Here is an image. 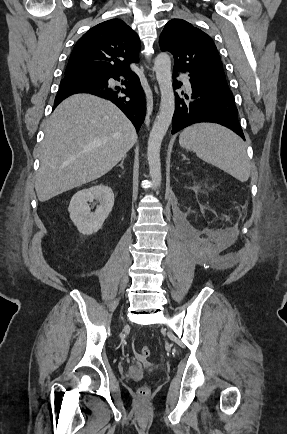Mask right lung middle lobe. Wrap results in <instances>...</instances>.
Segmentation results:
<instances>
[{
	"instance_id": "obj_1",
	"label": "right lung middle lobe",
	"mask_w": 287,
	"mask_h": 434,
	"mask_svg": "<svg viewBox=\"0 0 287 434\" xmlns=\"http://www.w3.org/2000/svg\"><path fill=\"white\" fill-rule=\"evenodd\" d=\"M70 78L73 80L98 79L99 75L83 74V75L71 76Z\"/></svg>"
}]
</instances>
